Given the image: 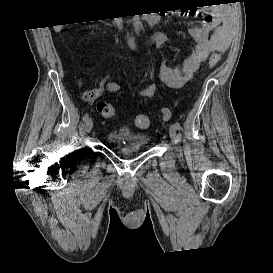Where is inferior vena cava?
<instances>
[{
	"instance_id": "1",
	"label": "inferior vena cava",
	"mask_w": 273,
	"mask_h": 273,
	"mask_svg": "<svg viewBox=\"0 0 273 273\" xmlns=\"http://www.w3.org/2000/svg\"><path fill=\"white\" fill-rule=\"evenodd\" d=\"M115 23L117 24L118 29L121 30L122 27H123V25H122V23H123L122 17L115 18Z\"/></svg>"
}]
</instances>
